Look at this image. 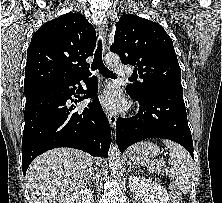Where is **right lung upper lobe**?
I'll return each instance as SVG.
<instances>
[{"label": "right lung upper lobe", "mask_w": 222, "mask_h": 203, "mask_svg": "<svg viewBox=\"0 0 222 203\" xmlns=\"http://www.w3.org/2000/svg\"><path fill=\"white\" fill-rule=\"evenodd\" d=\"M96 45L94 27L79 13H67L43 24L27 50L25 94L88 74Z\"/></svg>", "instance_id": "cb5924a9"}]
</instances>
